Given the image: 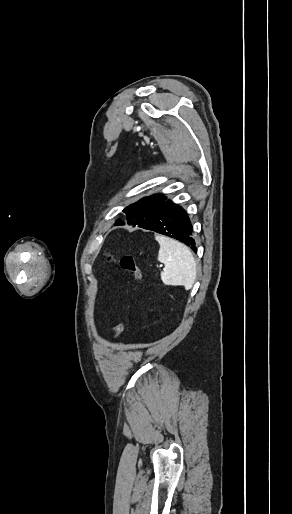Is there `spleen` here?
<instances>
[{
  "instance_id": "spleen-1",
  "label": "spleen",
  "mask_w": 292,
  "mask_h": 514,
  "mask_svg": "<svg viewBox=\"0 0 292 514\" xmlns=\"http://www.w3.org/2000/svg\"><path fill=\"white\" fill-rule=\"evenodd\" d=\"M155 240L160 246L158 262L165 264L161 272L163 284L184 286L185 290H190L196 280L197 272L196 262L189 248L165 236H156Z\"/></svg>"
}]
</instances>
